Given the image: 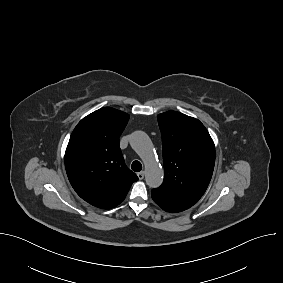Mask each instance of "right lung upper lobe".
Returning a JSON list of instances; mask_svg holds the SVG:
<instances>
[{
	"mask_svg": "<svg viewBox=\"0 0 283 283\" xmlns=\"http://www.w3.org/2000/svg\"><path fill=\"white\" fill-rule=\"evenodd\" d=\"M128 120V114L105 107L83 118L71 134L66 172L77 194L95 207L117 206L138 180L125 165L119 146Z\"/></svg>",
	"mask_w": 283,
	"mask_h": 283,
	"instance_id": "cb5924a9",
	"label": "right lung upper lobe"
}]
</instances>
